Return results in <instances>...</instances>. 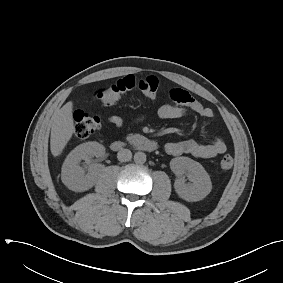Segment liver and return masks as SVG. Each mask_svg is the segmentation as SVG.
Wrapping results in <instances>:
<instances>
[{"label":"liver","instance_id":"obj_1","mask_svg":"<svg viewBox=\"0 0 283 283\" xmlns=\"http://www.w3.org/2000/svg\"><path fill=\"white\" fill-rule=\"evenodd\" d=\"M72 111L73 103L69 101L53 115L50 150L54 157L62 153L75 131Z\"/></svg>","mask_w":283,"mask_h":283}]
</instances>
